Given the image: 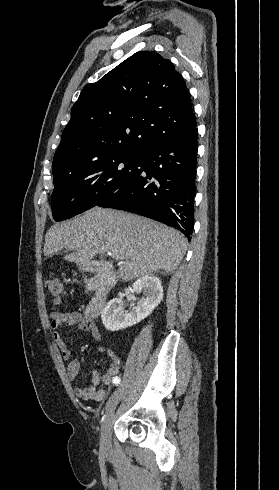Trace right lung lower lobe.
Here are the masks:
<instances>
[{
	"instance_id": "right-lung-lower-lobe-1",
	"label": "right lung lower lobe",
	"mask_w": 279,
	"mask_h": 490,
	"mask_svg": "<svg viewBox=\"0 0 279 490\" xmlns=\"http://www.w3.org/2000/svg\"><path fill=\"white\" fill-rule=\"evenodd\" d=\"M197 128L142 156L139 176L97 206L133 212L180 230L190 241L198 150Z\"/></svg>"
}]
</instances>
